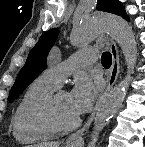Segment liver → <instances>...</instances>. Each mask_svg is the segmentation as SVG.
Instances as JSON below:
<instances>
[{"instance_id":"6515ba94","label":"liver","mask_w":145,"mask_h":147,"mask_svg":"<svg viewBox=\"0 0 145 147\" xmlns=\"http://www.w3.org/2000/svg\"><path fill=\"white\" fill-rule=\"evenodd\" d=\"M30 147H59V142H42Z\"/></svg>"}]
</instances>
